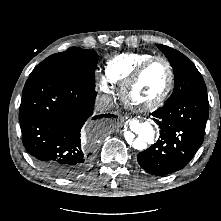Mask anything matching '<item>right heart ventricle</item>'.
Segmentation results:
<instances>
[{"label": "right heart ventricle", "instance_id": "right-heart-ventricle-1", "mask_svg": "<svg viewBox=\"0 0 221 221\" xmlns=\"http://www.w3.org/2000/svg\"><path fill=\"white\" fill-rule=\"evenodd\" d=\"M153 56L146 52L119 54L107 61L105 78L112 84H123L142 62Z\"/></svg>", "mask_w": 221, "mask_h": 221}]
</instances>
